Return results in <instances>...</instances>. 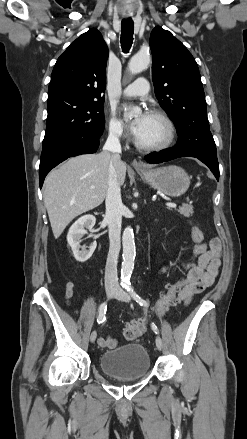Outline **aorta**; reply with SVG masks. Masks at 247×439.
<instances>
[{
    "label": "aorta",
    "mask_w": 247,
    "mask_h": 439,
    "mask_svg": "<svg viewBox=\"0 0 247 439\" xmlns=\"http://www.w3.org/2000/svg\"><path fill=\"white\" fill-rule=\"evenodd\" d=\"M151 62L150 55L147 53H137L135 54L128 63V70L132 74H137L146 69ZM141 113L139 107H131L130 112L127 117L138 116ZM123 261L121 266V281L122 283H127L131 277L132 271L134 269V259L136 255L134 233L131 227H126L123 236Z\"/></svg>",
    "instance_id": "762f6f07"
}]
</instances>
